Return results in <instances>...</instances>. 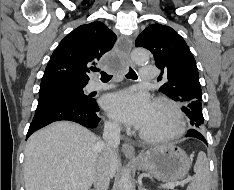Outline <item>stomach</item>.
I'll use <instances>...</instances> for the list:
<instances>
[{
  "mask_svg": "<svg viewBox=\"0 0 234 190\" xmlns=\"http://www.w3.org/2000/svg\"><path fill=\"white\" fill-rule=\"evenodd\" d=\"M136 166L163 182L177 181L190 169V160L183 149L174 144H161L141 153Z\"/></svg>",
  "mask_w": 234,
  "mask_h": 190,
  "instance_id": "1",
  "label": "stomach"
}]
</instances>
